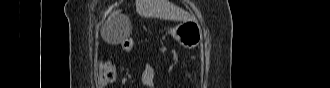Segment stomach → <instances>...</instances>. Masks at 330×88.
<instances>
[{"label":"stomach","instance_id":"stomach-1","mask_svg":"<svg viewBox=\"0 0 330 88\" xmlns=\"http://www.w3.org/2000/svg\"><path fill=\"white\" fill-rule=\"evenodd\" d=\"M173 37L185 48H195L202 41V30L196 21H184L172 29Z\"/></svg>","mask_w":330,"mask_h":88}]
</instances>
